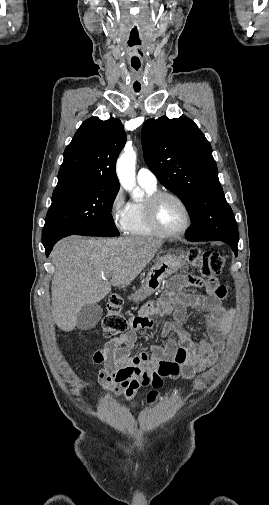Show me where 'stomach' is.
<instances>
[{
    "mask_svg": "<svg viewBox=\"0 0 269 505\" xmlns=\"http://www.w3.org/2000/svg\"><path fill=\"white\" fill-rule=\"evenodd\" d=\"M187 262L188 257L184 254H167L161 257L148 272L137 297L144 298L159 290L163 280L187 267Z\"/></svg>",
    "mask_w": 269,
    "mask_h": 505,
    "instance_id": "0dacf381",
    "label": "stomach"
}]
</instances>
